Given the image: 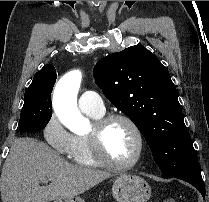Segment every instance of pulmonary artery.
<instances>
[{
  "label": "pulmonary artery",
  "mask_w": 209,
  "mask_h": 202,
  "mask_svg": "<svg viewBox=\"0 0 209 202\" xmlns=\"http://www.w3.org/2000/svg\"><path fill=\"white\" fill-rule=\"evenodd\" d=\"M78 107L83 112L101 115L105 112V106L101 96L95 90H85L78 98Z\"/></svg>",
  "instance_id": "pulmonary-artery-1"
}]
</instances>
